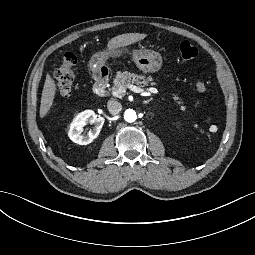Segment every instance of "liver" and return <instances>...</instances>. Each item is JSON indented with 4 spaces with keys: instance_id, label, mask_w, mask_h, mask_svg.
<instances>
[{
    "instance_id": "1",
    "label": "liver",
    "mask_w": 255,
    "mask_h": 255,
    "mask_svg": "<svg viewBox=\"0 0 255 255\" xmlns=\"http://www.w3.org/2000/svg\"><path fill=\"white\" fill-rule=\"evenodd\" d=\"M147 37V34L144 33H127L121 34L114 38H112L107 45L108 50H116L118 48L127 47L134 43H137ZM86 48L90 49L91 46H87ZM83 49V47H81ZM57 93V85L54 78L47 73L46 80L44 83L41 102H40V110H39V118L43 119L51 109L55 96Z\"/></svg>"
}]
</instances>
